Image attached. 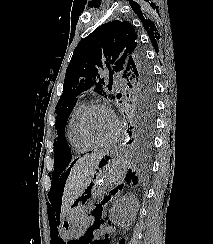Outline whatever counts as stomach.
<instances>
[{"label":"stomach","mask_w":213,"mask_h":244,"mask_svg":"<svg viewBox=\"0 0 213 244\" xmlns=\"http://www.w3.org/2000/svg\"><path fill=\"white\" fill-rule=\"evenodd\" d=\"M125 174V163L117 156L115 149H108L99 161L91 183L71 204L61 221V234L64 237H70L82 232L86 219V210L82 203L89 197H96L102 191L109 192L119 186Z\"/></svg>","instance_id":"0dacf381"}]
</instances>
